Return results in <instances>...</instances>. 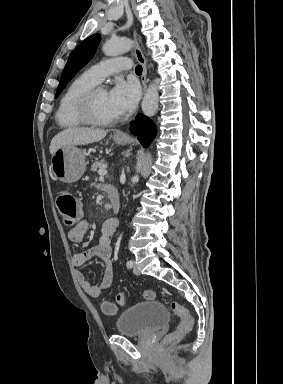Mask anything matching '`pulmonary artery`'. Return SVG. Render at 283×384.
Wrapping results in <instances>:
<instances>
[{"mask_svg":"<svg viewBox=\"0 0 283 384\" xmlns=\"http://www.w3.org/2000/svg\"><path fill=\"white\" fill-rule=\"evenodd\" d=\"M131 62L130 61H106L101 62L97 65L91 67L88 71L85 72V75L94 83L98 84L102 80L111 74H114L118 71H130Z\"/></svg>","mask_w":283,"mask_h":384,"instance_id":"pulmonary-artery-1","label":"pulmonary artery"}]
</instances>
